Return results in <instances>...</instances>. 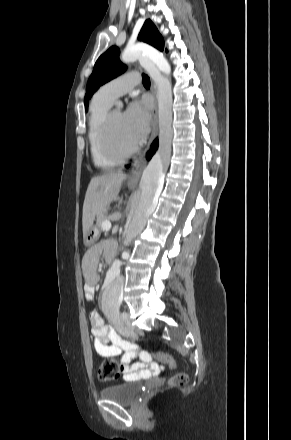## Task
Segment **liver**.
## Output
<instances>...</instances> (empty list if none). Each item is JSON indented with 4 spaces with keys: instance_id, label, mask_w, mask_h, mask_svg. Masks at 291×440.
<instances>
[{
    "instance_id": "obj_1",
    "label": "liver",
    "mask_w": 291,
    "mask_h": 440,
    "mask_svg": "<svg viewBox=\"0 0 291 440\" xmlns=\"http://www.w3.org/2000/svg\"><path fill=\"white\" fill-rule=\"evenodd\" d=\"M126 174L111 171L93 177L88 185L83 204V235L85 236L93 226L95 216L109 206L118 195Z\"/></svg>"
}]
</instances>
